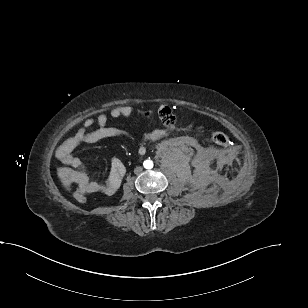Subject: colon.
Wrapping results in <instances>:
<instances>
[{
  "label": "colon",
  "instance_id": "obj_1",
  "mask_svg": "<svg viewBox=\"0 0 308 308\" xmlns=\"http://www.w3.org/2000/svg\"><path fill=\"white\" fill-rule=\"evenodd\" d=\"M158 116H159L160 120L162 121V123L167 125V126L173 125V123L175 121L174 114L172 113V111L168 107H165V108L159 110ZM211 138H212L214 143H216L220 146H227L229 144V138L227 137V135H225L222 132L212 133ZM87 195L88 194L86 192H84L83 190L78 189V188L74 192V198L79 203H85L87 201Z\"/></svg>",
  "mask_w": 308,
  "mask_h": 308
}]
</instances>
